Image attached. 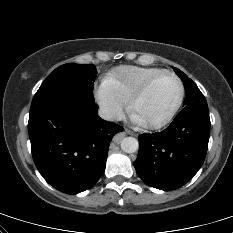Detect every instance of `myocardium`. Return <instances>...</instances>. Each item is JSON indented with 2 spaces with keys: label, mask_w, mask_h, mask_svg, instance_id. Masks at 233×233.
I'll list each match as a JSON object with an SVG mask.
<instances>
[{
  "label": "myocardium",
  "mask_w": 233,
  "mask_h": 233,
  "mask_svg": "<svg viewBox=\"0 0 233 233\" xmlns=\"http://www.w3.org/2000/svg\"><path fill=\"white\" fill-rule=\"evenodd\" d=\"M163 76H171L177 81V83L179 85V96H178V99H177L175 105L173 106V108L170 110V112L163 119H161L159 121H155V122L143 123V125L147 128L158 129V128H162V127L166 126L168 123H170L173 120V118L175 117V115L177 114V112L179 111V109L181 108L183 100H184L185 87H184L183 81L176 73H174L172 71L164 70V71L156 74L155 76L151 77L149 80H147L134 93V95L130 98V100L128 102L129 112L133 113V109H134V106L136 105V103L139 102L145 96V94L149 91L151 86L158 79H160Z\"/></svg>",
  "instance_id": "myocardium-1"
}]
</instances>
